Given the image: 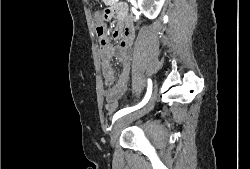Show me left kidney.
<instances>
[{
	"instance_id": "left-kidney-1",
	"label": "left kidney",
	"mask_w": 250,
	"mask_h": 169,
	"mask_svg": "<svg viewBox=\"0 0 250 169\" xmlns=\"http://www.w3.org/2000/svg\"><path fill=\"white\" fill-rule=\"evenodd\" d=\"M165 0H138V6L147 18L158 16Z\"/></svg>"
}]
</instances>
